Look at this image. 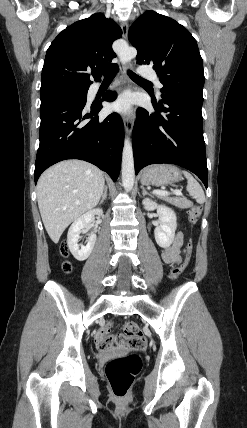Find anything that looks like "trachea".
<instances>
[{
    "mask_svg": "<svg viewBox=\"0 0 247 428\" xmlns=\"http://www.w3.org/2000/svg\"><path fill=\"white\" fill-rule=\"evenodd\" d=\"M103 74H104V80H112L115 77V73L113 71H103ZM128 74L133 80L148 82L147 80L139 77L132 71H129Z\"/></svg>",
    "mask_w": 247,
    "mask_h": 428,
    "instance_id": "obj_1",
    "label": "trachea"
}]
</instances>
